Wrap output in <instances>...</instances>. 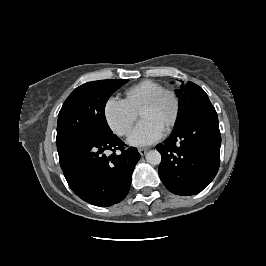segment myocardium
<instances>
[{"instance_id": "f54148a6", "label": "myocardium", "mask_w": 266, "mask_h": 266, "mask_svg": "<svg viewBox=\"0 0 266 266\" xmlns=\"http://www.w3.org/2000/svg\"><path fill=\"white\" fill-rule=\"evenodd\" d=\"M164 96H170L174 102V111H173L172 117L165 126L166 129H170L176 124L178 117H179V113H180V99H179L178 94L174 90L166 89V88L159 90L145 102V104L143 105L140 111H142L143 109L147 107L154 106Z\"/></svg>"}]
</instances>
